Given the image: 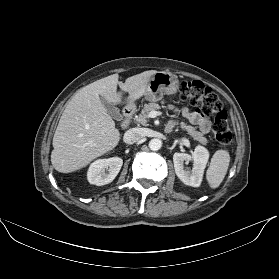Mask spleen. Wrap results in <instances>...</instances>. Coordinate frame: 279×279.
<instances>
[{
  "label": "spleen",
  "mask_w": 279,
  "mask_h": 279,
  "mask_svg": "<svg viewBox=\"0 0 279 279\" xmlns=\"http://www.w3.org/2000/svg\"><path fill=\"white\" fill-rule=\"evenodd\" d=\"M230 163L227 150H218L211 158L210 166L206 172V179L212 189L217 188L223 181Z\"/></svg>",
  "instance_id": "spleen-1"
}]
</instances>
